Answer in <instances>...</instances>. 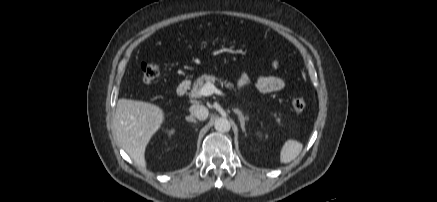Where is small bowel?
Instances as JSON below:
<instances>
[{
	"label": "small bowel",
	"instance_id": "c3829d8e",
	"mask_svg": "<svg viewBox=\"0 0 437 202\" xmlns=\"http://www.w3.org/2000/svg\"><path fill=\"white\" fill-rule=\"evenodd\" d=\"M271 65L274 69H277L279 63L277 60L272 59ZM250 84V80L247 75L243 74L239 79V87L245 88ZM256 88L263 93H271L280 91L285 87V82L281 77L274 75L260 76L255 82Z\"/></svg>",
	"mask_w": 437,
	"mask_h": 202
}]
</instances>
